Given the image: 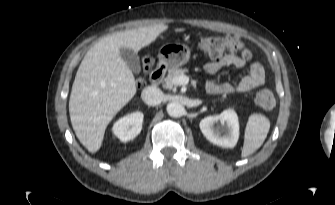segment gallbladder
Listing matches in <instances>:
<instances>
[{
  "mask_svg": "<svg viewBox=\"0 0 335 205\" xmlns=\"http://www.w3.org/2000/svg\"><path fill=\"white\" fill-rule=\"evenodd\" d=\"M120 55L132 72L136 74L140 73L141 65L139 56L136 51L130 48H121Z\"/></svg>",
  "mask_w": 335,
  "mask_h": 205,
  "instance_id": "1",
  "label": "gallbladder"
}]
</instances>
